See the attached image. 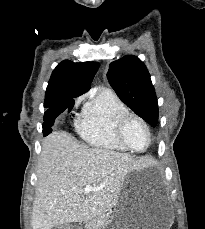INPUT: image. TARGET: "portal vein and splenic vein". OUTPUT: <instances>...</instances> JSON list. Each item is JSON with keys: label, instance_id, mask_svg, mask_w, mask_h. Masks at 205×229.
I'll return each instance as SVG.
<instances>
[{"label": "portal vein and splenic vein", "instance_id": "portal-vein-and-splenic-vein-1", "mask_svg": "<svg viewBox=\"0 0 205 229\" xmlns=\"http://www.w3.org/2000/svg\"><path fill=\"white\" fill-rule=\"evenodd\" d=\"M98 189H99L98 187L91 186V185H86L85 188H84V194H88L91 191H95V190H98Z\"/></svg>", "mask_w": 205, "mask_h": 229}]
</instances>
